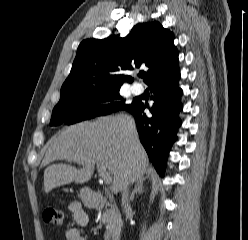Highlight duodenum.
<instances>
[{
  "mask_svg": "<svg viewBox=\"0 0 248 240\" xmlns=\"http://www.w3.org/2000/svg\"><path fill=\"white\" fill-rule=\"evenodd\" d=\"M92 200H93V206L95 207H101L106 204V200L104 199L103 195L100 193H92ZM114 240H120L119 238H115Z\"/></svg>",
  "mask_w": 248,
  "mask_h": 240,
  "instance_id": "1",
  "label": "duodenum"
}]
</instances>
